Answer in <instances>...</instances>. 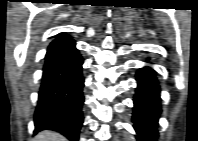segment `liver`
<instances>
[{
	"instance_id": "obj_1",
	"label": "liver",
	"mask_w": 198,
	"mask_h": 141,
	"mask_svg": "<svg viewBox=\"0 0 198 141\" xmlns=\"http://www.w3.org/2000/svg\"><path fill=\"white\" fill-rule=\"evenodd\" d=\"M34 139L35 141H66L63 136L52 131L40 132Z\"/></svg>"
}]
</instances>
